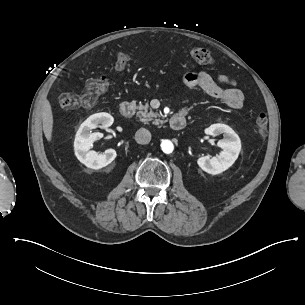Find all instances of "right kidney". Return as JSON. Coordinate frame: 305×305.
Instances as JSON below:
<instances>
[{
    "label": "right kidney",
    "instance_id": "1",
    "mask_svg": "<svg viewBox=\"0 0 305 305\" xmlns=\"http://www.w3.org/2000/svg\"><path fill=\"white\" fill-rule=\"evenodd\" d=\"M113 121L114 119L110 114L98 113L90 116L81 124L75 137L74 150L78 160L85 166L92 169H100L110 164L116 158V151L114 149H107L103 153L89 151L92 143L99 139L96 136L97 133H95L94 137L90 130L96 128L98 124H102L103 128L109 127Z\"/></svg>",
    "mask_w": 305,
    "mask_h": 305
}]
</instances>
